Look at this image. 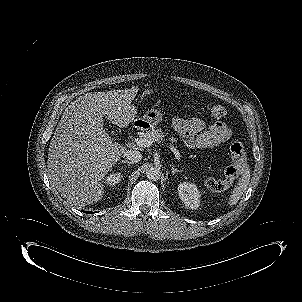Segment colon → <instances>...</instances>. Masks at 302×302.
<instances>
[{"instance_id":"obj_1","label":"colon","mask_w":302,"mask_h":302,"mask_svg":"<svg viewBox=\"0 0 302 302\" xmlns=\"http://www.w3.org/2000/svg\"><path fill=\"white\" fill-rule=\"evenodd\" d=\"M207 111L213 118H222L226 115V109L220 104H209L207 106ZM230 153L233 160V165L228 167L225 172V180H218L213 177L206 179V186L214 191H220L225 188V186L232 181L239 168L245 162V150L241 142L233 141L230 145Z\"/></svg>"}]
</instances>
